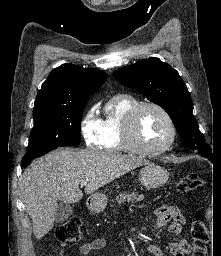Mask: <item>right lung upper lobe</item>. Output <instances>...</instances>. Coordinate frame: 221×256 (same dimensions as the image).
<instances>
[{"mask_svg": "<svg viewBox=\"0 0 221 256\" xmlns=\"http://www.w3.org/2000/svg\"><path fill=\"white\" fill-rule=\"evenodd\" d=\"M106 79L103 71L63 64L53 69L42 84L33 111L79 105L89 100Z\"/></svg>", "mask_w": 221, "mask_h": 256, "instance_id": "1", "label": "right lung upper lobe"}]
</instances>
